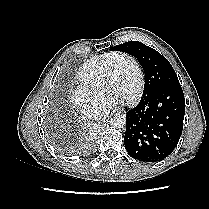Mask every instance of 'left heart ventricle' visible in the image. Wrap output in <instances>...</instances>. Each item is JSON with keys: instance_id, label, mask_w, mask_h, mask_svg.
Segmentation results:
<instances>
[{"instance_id": "left-heart-ventricle-1", "label": "left heart ventricle", "mask_w": 209, "mask_h": 209, "mask_svg": "<svg viewBox=\"0 0 209 209\" xmlns=\"http://www.w3.org/2000/svg\"><path fill=\"white\" fill-rule=\"evenodd\" d=\"M136 80L137 73L134 64L129 59H119L108 85L107 96L119 100L127 99L134 89Z\"/></svg>"}]
</instances>
